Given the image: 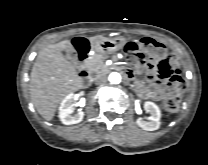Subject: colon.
I'll list each match as a JSON object with an SVG mask.
<instances>
[{
  "instance_id": "5ec220e1",
  "label": "colon",
  "mask_w": 208,
  "mask_h": 165,
  "mask_svg": "<svg viewBox=\"0 0 208 165\" xmlns=\"http://www.w3.org/2000/svg\"><path fill=\"white\" fill-rule=\"evenodd\" d=\"M80 51L84 48L82 42L78 43ZM125 53L128 59L135 65H143L146 61L148 55H152L157 60V65L159 60L167 53L165 47L154 40L145 38L141 41H130L125 45ZM181 91V90H180ZM180 106V96L175 95L164 104V108L168 112H175Z\"/></svg>"
}]
</instances>
